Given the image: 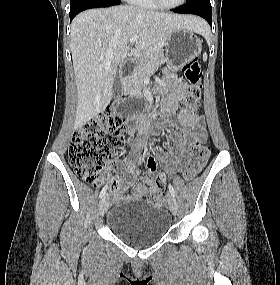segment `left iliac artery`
Segmentation results:
<instances>
[{
    "label": "left iliac artery",
    "mask_w": 280,
    "mask_h": 285,
    "mask_svg": "<svg viewBox=\"0 0 280 285\" xmlns=\"http://www.w3.org/2000/svg\"><path fill=\"white\" fill-rule=\"evenodd\" d=\"M168 188H169L170 194H171L173 197H175V196H176V192H175L173 186H172L171 184H169Z\"/></svg>",
    "instance_id": "1"
}]
</instances>
